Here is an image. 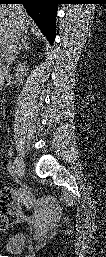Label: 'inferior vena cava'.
<instances>
[{
  "mask_svg": "<svg viewBox=\"0 0 106 257\" xmlns=\"http://www.w3.org/2000/svg\"><path fill=\"white\" fill-rule=\"evenodd\" d=\"M20 34L18 32H13L8 37L4 46L1 47V74L6 78L9 75L10 65L14 59V54L16 53L17 45L19 43Z\"/></svg>",
  "mask_w": 106,
  "mask_h": 257,
  "instance_id": "602c4592",
  "label": "inferior vena cava"
}]
</instances>
